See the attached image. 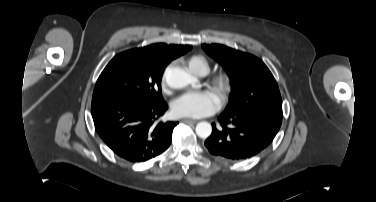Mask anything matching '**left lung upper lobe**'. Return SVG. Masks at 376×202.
Wrapping results in <instances>:
<instances>
[{
    "instance_id": "obj_1",
    "label": "left lung upper lobe",
    "mask_w": 376,
    "mask_h": 202,
    "mask_svg": "<svg viewBox=\"0 0 376 202\" xmlns=\"http://www.w3.org/2000/svg\"><path fill=\"white\" fill-rule=\"evenodd\" d=\"M202 48L225 68L234 85L232 101L224 112H260L282 119L278 85L260 59L220 44H203Z\"/></svg>"
}]
</instances>
